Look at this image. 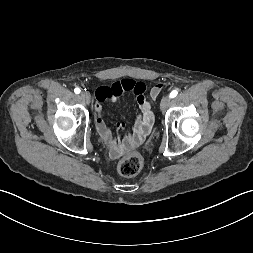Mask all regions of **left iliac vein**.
<instances>
[{"instance_id": "4c4485c4", "label": "left iliac vein", "mask_w": 253, "mask_h": 253, "mask_svg": "<svg viewBox=\"0 0 253 253\" xmlns=\"http://www.w3.org/2000/svg\"><path fill=\"white\" fill-rule=\"evenodd\" d=\"M170 104V97H164L162 100H161V103H160V109L161 110H165L168 108Z\"/></svg>"}]
</instances>
